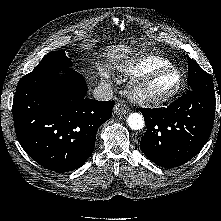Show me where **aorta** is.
Wrapping results in <instances>:
<instances>
[{"instance_id": "762f6f07", "label": "aorta", "mask_w": 221, "mask_h": 221, "mask_svg": "<svg viewBox=\"0 0 221 221\" xmlns=\"http://www.w3.org/2000/svg\"><path fill=\"white\" fill-rule=\"evenodd\" d=\"M127 123L132 130H141L145 125L143 116L137 112L128 116Z\"/></svg>"}]
</instances>
